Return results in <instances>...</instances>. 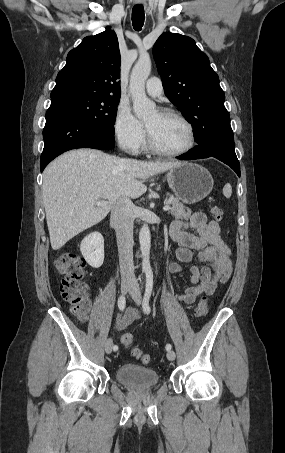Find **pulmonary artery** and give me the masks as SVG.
<instances>
[{"label":"pulmonary artery","mask_w":285,"mask_h":453,"mask_svg":"<svg viewBox=\"0 0 285 453\" xmlns=\"http://www.w3.org/2000/svg\"><path fill=\"white\" fill-rule=\"evenodd\" d=\"M146 93L152 98H159L163 94L162 82L157 77H151L146 83Z\"/></svg>","instance_id":"obj_1"}]
</instances>
